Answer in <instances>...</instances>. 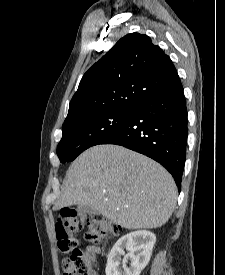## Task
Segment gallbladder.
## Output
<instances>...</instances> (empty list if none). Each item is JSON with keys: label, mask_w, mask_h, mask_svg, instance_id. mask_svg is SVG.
<instances>
[{"label": "gallbladder", "mask_w": 225, "mask_h": 275, "mask_svg": "<svg viewBox=\"0 0 225 275\" xmlns=\"http://www.w3.org/2000/svg\"><path fill=\"white\" fill-rule=\"evenodd\" d=\"M78 211L82 212V213H92L93 209L89 206L86 205H78Z\"/></svg>", "instance_id": "bac80fb5"}]
</instances>
